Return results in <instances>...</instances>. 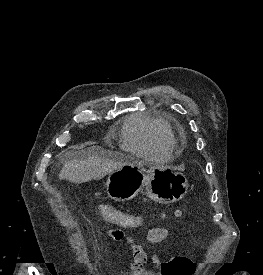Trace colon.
Instances as JSON below:
<instances>
[{"label":"colon","mask_w":263,"mask_h":275,"mask_svg":"<svg viewBox=\"0 0 263 275\" xmlns=\"http://www.w3.org/2000/svg\"><path fill=\"white\" fill-rule=\"evenodd\" d=\"M96 213L103 221L125 229L139 228L144 224V218L142 216L127 213L110 205H99L96 208ZM174 214L178 216L181 212L176 210ZM163 217H165V215H163ZM122 234L123 232L120 230L115 231V237H121ZM193 265L194 263L189 257L176 256L168 262L166 275H185Z\"/></svg>","instance_id":"obj_1"}]
</instances>
